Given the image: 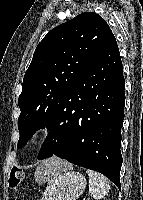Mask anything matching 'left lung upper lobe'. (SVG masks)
<instances>
[{
	"label": "left lung upper lobe",
	"mask_w": 143,
	"mask_h": 200,
	"mask_svg": "<svg viewBox=\"0 0 143 200\" xmlns=\"http://www.w3.org/2000/svg\"><path fill=\"white\" fill-rule=\"evenodd\" d=\"M114 35L106 21L85 12L52 29L38 44L18 98V147L40 128L66 124L64 99Z\"/></svg>",
	"instance_id": "1"
}]
</instances>
